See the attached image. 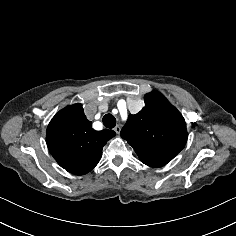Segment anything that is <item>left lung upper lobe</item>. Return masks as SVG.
Instances as JSON below:
<instances>
[{
  "mask_svg": "<svg viewBox=\"0 0 236 236\" xmlns=\"http://www.w3.org/2000/svg\"><path fill=\"white\" fill-rule=\"evenodd\" d=\"M145 107L129 115L120 135L133 147L139 159L150 167L170 162L187 142L182 114L158 91L144 96Z\"/></svg>",
  "mask_w": 236,
  "mask_h": 236,
  "instance_id": "left-lung-upper-lobe-1",
  "label": "left lung upper lobe"
}]
</instances>
